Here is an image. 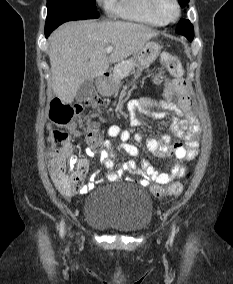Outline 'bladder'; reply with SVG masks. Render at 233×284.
Masks as SVG:
<instances>
[{"label":"bladder","instance_id":"bladder-1","mask_svg":"<svg viewBox=\"0 0 233 284\" xmlns=\"http://www.w3.org/2000/svg\"><path fill=\"white\" fill-rule=\"evenodd\" d=\"M153 202L148 192L125 184L93 191L84 203L85 222L99 230L132 234L148 227Z\"/></svg>","mask_w":233,"mask_h":284}]
</instances>
